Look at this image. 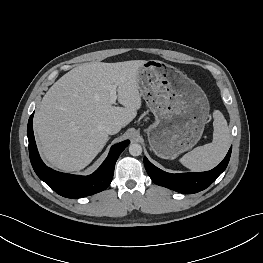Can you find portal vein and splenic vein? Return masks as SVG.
<instances>
[{
  "instance_id": "1",
  "label": "portal vein and splenic vein",
  "mask_w": 263,
  "mask_h": 263,
  "mask_svg": "<svg viewBox=\"0 0 263 263\" xmlns=\"http://www.w3.org/2000/svg\"><path fill=\"white\" fill-rule=\"evenodd\" d=\"M116 89H117L116 85H111L110 88H109V91H110V103L111 104H115L116 103V100H117Z\"/></svg>"
}]
</instances>
